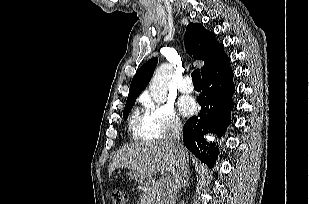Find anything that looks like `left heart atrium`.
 <instances>
[{
	"label": "left heart atrium",
	"instance_id": "1",
	"mask_svg": "<svg viewBox=\"0 0 309 204\" xmlns=\"http://www.w3.org/2000/svg\"><path fill=\"white\" fill-rule=\"evenodd\" d=\"M179 107L181 112L188 116L194 113L196 109V104L194 100L190 97H182L179 101Z\"/></svg>",
	"mask_w": 309,
	"mask_h": 204
}]
</instances>
